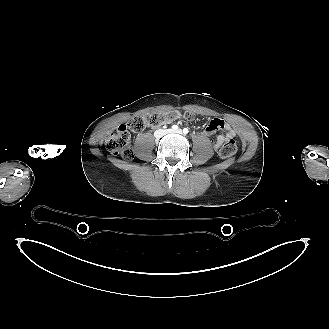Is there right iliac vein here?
Instances as JSON below:
<instances>
[{
  "label": "right iliac vein",
  "instance_id": "1",
  "mask_svg": "<svg viewBox=\"0 0 329 329\" xmlns=\"http://www.w3.org/2000/svg\"><path fill=\"white\" fill-rule=\"evenodd\" d=\"M170 130H160L159 135H164L165 133H169Z\"/></svg>",
  "mask_w": 329,
  "mask_h": 329
}]
</instances>
